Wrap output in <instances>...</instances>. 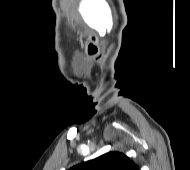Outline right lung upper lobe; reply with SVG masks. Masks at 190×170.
I'll use <instances>...</instances> for the list:
<instances>
[{
    "mask_svg": "<svg viewBox=\"0 0 190 170\" xmlns=\"http://www.w3.org/2000/svg\"><path fill=\"white\" fill-rule=\"evenodd\" d=\"M69 170H139L138 166L120 152H109Z\"/></svg>",
    "mask_w": 190,
    "mask_h": 170,
    "instance_id": "right-lung-upper-lobe-1",
    "label": "right lung upper lobe"
}]
</instances>
